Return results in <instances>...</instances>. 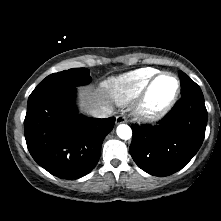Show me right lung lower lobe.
I'll use <instances>...</instances> for the list:
<instances>
[{
	"mask_svg": "<svg viewBox=\"0 0 221 221\" xmlns=\"http://www.w3.org/2000/svg\"><path fill=\"white\" fill-rule=\"evenodd\" d=\"M76 87L28 99L24 132L28 150L41 167L62 179H78L96 166L115 117L87 118L74 107Z\"/></svg>",
	"mask_w": 221,
	"mask_h": 221,
	"instance_id": "1",
	"label": "right lung lower lobe"
}]
</instances>
